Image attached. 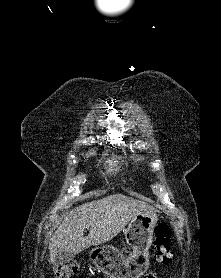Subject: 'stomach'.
<instances>
[{
    "instance_id": "0dacf381",
    "label": "stomach",
    "mask_w": 221,
    "mask_h": 278,
    "mask_svg": "<svg viewBox=\"0 0 221 278\" xmlns=\"http://www.w3.org/2000/svg\"><path fill=\"white\" fill-rule=\"evenodd\" d=\"M157 222L155 213H143L131 219L125 230V239L133 250L134 261H130V257H125V254L110 245L92 249L90 259L109 278H144L149 262L147 252L152 244Z\"/></svg>"
}]
</instances>
